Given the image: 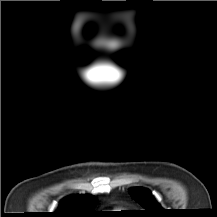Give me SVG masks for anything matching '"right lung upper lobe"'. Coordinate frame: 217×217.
Segmentation results:
<instances>
[{"label":"right lung upper lobe","instance_id":"right-lung-upper-lobe-1","mask_svg":"<svg viewBox=\"0 0 217 217\" xmlns=\"http://www.w3.org/2000/svg\"><path fill=\"white\" fill-rule=\"evenodd\" d=\"M97 200L90 195H75L64 198L58 209L50 214L52 217H93L92 211Z\"/></svg>","mask_w":217,"mask_h":217}]
</instances>
